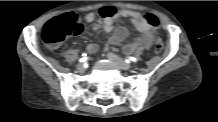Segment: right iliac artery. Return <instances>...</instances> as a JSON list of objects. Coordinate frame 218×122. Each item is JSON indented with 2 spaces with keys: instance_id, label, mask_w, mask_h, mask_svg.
<instances>
[{
  "instance_id": "obj_1",
  "label": "right iliac artery",
  "mask_w": 218,
  "mask_h": 122,
  "mask_svg": "<svg viewBox=\"0 0 218 122\" xmlns=\"http://www.w3.org/2000/svg\"><path fill=\"white\" fill-rule=\"evenodd\" d=\"M87 59L88 57L86 56V54H84L83 57L79 59V62H85Z\"/></svg>"
}]
</instances>
